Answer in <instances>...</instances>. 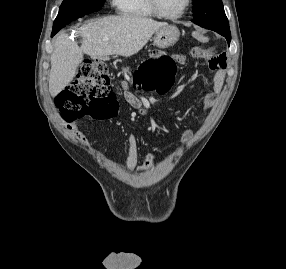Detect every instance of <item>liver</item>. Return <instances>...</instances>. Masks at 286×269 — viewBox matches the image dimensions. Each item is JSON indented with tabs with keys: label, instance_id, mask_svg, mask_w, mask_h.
I'll return each instance as SVG.
<instances>
[{
	"label": "liver",
	"instance_id": "1",
	"mask_svg": "<svg viewBox=\"0 0 286 269\" xmlns=\"http://www.w3.org/2000/svg\"><path fill=\"white\" fill-rule=\"evenodd\" d=\"M167 23L143 16H109L89 21L76 35L82 37L81 47L67 35H59L51 55L49 92L57 96L75 77L84 53L93 59H106L110 55L130 57L138 53L152 35ZM104 38H108L104 41Z\"/></svg>",
	"mask_w": 286,
	"mask_h": 269
}]
</instances>
